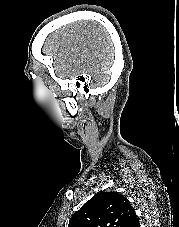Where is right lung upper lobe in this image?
Returning a JSON list of instances; mask_svg holds the SVG:
<instances>
[{"label": "right lung upper lobe", "mask_w": 179, "mask_h": 227, "mask_svg": "<svg viewBox=\"0 0 179 227\" xmlns=\"http://www.w3.org/2000/svg\"><path fill=\"white\" fill-rule=\"evenodd\" d=\"M68 227H140L129 200L118 192H100L70 218Z\"/></svg>", "instance_id": "1"}]
</instances>
